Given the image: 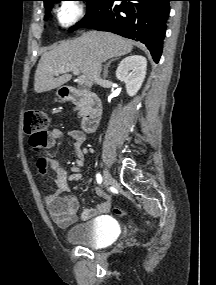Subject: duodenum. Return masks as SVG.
Instances as JSON below:
<instances>
[{"label":"duodenum","instance_id":"duodenum-1","mask_svg":"<svg viewBox=\"0 0 216 285\" xmlns=\"http://www.w3.org/2000/svg\"><path fill=\"white\" fill-rule=\"evenodd\" d=\"M61 95L66 101L84 106L82 128L85 132L94 131L102 112V104L99 97L92 92L72 86L62 88Z\"/></svg>","mask_w":216,"mask_h":285}]
</instances>
